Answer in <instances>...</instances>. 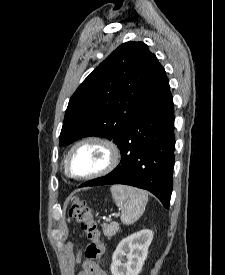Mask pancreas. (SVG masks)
<instances>
[{
    "instance_id": "obj_1",
    "label": "pancreas",
    "mask_w": 225,
    "mask_h": 275,
    "mask_svg": "<svg viewBox=\"0 0 225 275\" xmlns=\"http://www.w3.org/2000/svg\"><path fill=\"white\" fill-rule=\"evenodd\" d=\"M102 230H103L104 235L106 237L110 238L118 232L119 224H118V222H112L108 225H104Z\"/></svg>"
}]
</instances>
